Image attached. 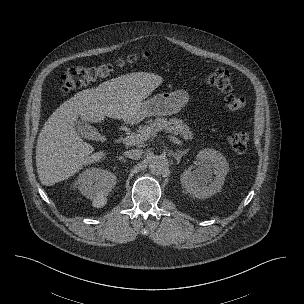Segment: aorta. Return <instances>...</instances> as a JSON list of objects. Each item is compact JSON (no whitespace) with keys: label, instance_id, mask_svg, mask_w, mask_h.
Returning <instances> with one entry per match:
<instances>
[{"label":"aorta","instance_id":"aorta-1","mask_svg":"<svg viewBox=\"0 0 304 304\" xmlns=\"http://www.w3.org/2000/svg\"><path fill=\"white\" fill-rule=\"evenodd\" d=\"M168 166V160L164 156H154L149 162V170L156 175L163 174Z\"/></svg>","mask_w":304,"mask_h":304}]
</instances>
